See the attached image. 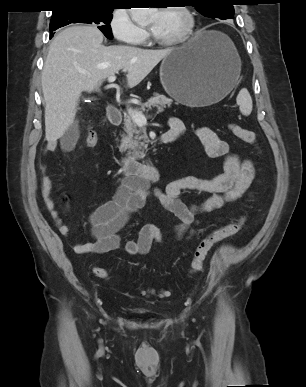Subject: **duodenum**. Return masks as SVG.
<instances>
[{
  "instance_id": "1",
  "label": "duodenum",
  "mask_w": 306,
  "mask_h": 387,
  "mask_svg": "<svg viewBox=\"0 0 306 387\" xmlns=\"http://www.w3.org/2000/svg\"><path fill=\"white\" fill-rule=\"evenodd\" d=\"M107 116L111 124L119 125L122 121V114L119 109L110 106L107 110ZM178 139V135L164 133L160 137L162 143H169ZM121 167L129 178L134 180L153 182L159 178L158 168L150 161L140 162L132 158H125L121 161Z\"/></svg>"
}]
</instances>
